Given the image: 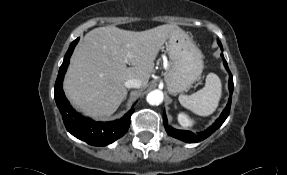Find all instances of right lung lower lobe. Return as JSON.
I'll return each mask as SVG.
<instances>
[{
  "label": "right lung lower lobe",
  "mask_w": 287,
  "mask_h": 175,
  "mask_svg": "<svg viewBox=\"0 0 287 175\" xmlns=\"http://www.w3.org/2000/svg\"><path fill=\"white\" fill-rule=\"evenodd\" d=\"M74 40L65 54L64 61L59 69L55 83V101L62 115L64 125L68 132L76 138L94 146H105L122 137L130 126V117L134 112L132 108L124 117L111 122H96L81 116L70 105L62 89V82L69 65L70 56L78 43Z\"/></svg>",
  "instance_id": "obj_1"
}]
</instances>
